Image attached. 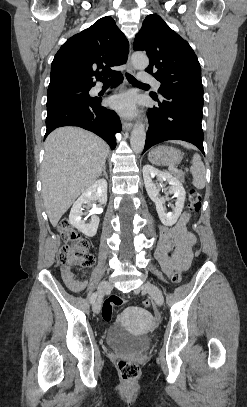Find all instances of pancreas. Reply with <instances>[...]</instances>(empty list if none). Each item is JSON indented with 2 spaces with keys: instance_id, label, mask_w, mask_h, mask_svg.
Returning <instances> with one entry per match:
<instances>
[{
  "instance_id": "1",
  "label": "pancreas",
  "mask_w": 247,
  "mask_h": 407,
  "mask_svg": "<svg viewBox=\"0 0 247 407\" xmlns=\"http://www.w3.org/2000/svg\"><path fill=\"white\" fill-rule=\"evenodd\" d=\"M173 175L178 178L181 182H184L185 174L182 171H172Z\"/></svg>"
}]
</instances>
